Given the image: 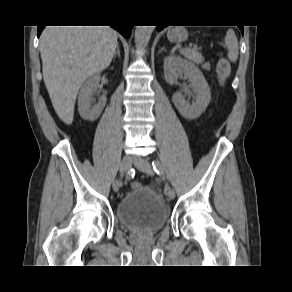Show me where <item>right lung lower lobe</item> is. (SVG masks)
<instances>
[{"instance_id":"obj_1","label":"right lung lower lobe","mask_w":292,"mask_h":292,"mask_svg":"<svg viewBox=\"0 0 292 292\" xmlns=\"http://www.w3.org/2000/svg\"><path fill=\"white\" fill-rule=\"evenodd\" d=\"M44 27L45 26H43V27L38 26V37L40 36V34H41V32H42ZM111 27H113L114 29L119 31L125 37H130V35H131V29H132L131 25L116 24V25H111Z\"/></svg>"}]
</instances>
